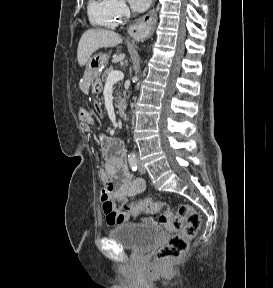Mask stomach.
<instances>
[{
    "instance_id": "stomach-1",
    "label": "stomach",
    "mask_w": 273,
    "mask_h": 288,
    "mask_svg": "<svg viewBox=\"0 0 273 288\" xmlns=\"http://www.w3.org/2000/svg\"><path fill=\"white\" fill-rule=\"evenodd\" d=\"M109 60V54L98 53L91 57L87 63V68L83 77L88 89L91 85V91L95 94H99L102 91V83L100 81V75L107 65Z\"/></svg>"
}]
</instances>
